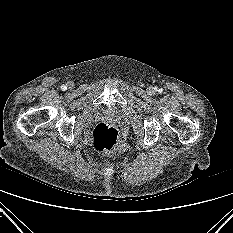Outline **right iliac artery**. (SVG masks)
Returning <instances> with one entry per match:
<instances>
[{"label":"right iliac artery","mask_w":233,"mask_h":233,"mask_svg":"<svg viewBox=\"0 0 233 233\" xmlns=\"http://www.w3.org/2000/svg\"><path fill=\"white\" fill-rule=\"evenodd\" d=\"M61 89H62V90H66V89H67V86H66V85H62V86H61Z\"/></svg>","instance_id":"1"}]
</instances>
